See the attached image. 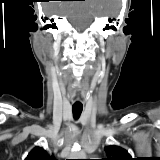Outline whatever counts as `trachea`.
I'll use <instances>...</instances> for the list:
<instances>
[{
  "label": "trachea",
  "mask_w": 160,
  "mask_h": 160,
  "mask_svg": "<svg viewBox=\"0 0 160 160\" xmlns=\"http://www.w3.org/2000/svg\"><path fill=\"white\" fill-rule=\"evenodd\" d=\"M83 105H73L72 112L75 119H78L82 113Z\"/></svg>",
  "instance_id": "trachea-1"
}]
</instances>
